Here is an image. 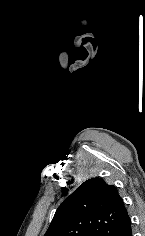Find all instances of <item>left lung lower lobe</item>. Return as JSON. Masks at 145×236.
<instances>
[{"label": "left lung lower lobe", "mask_w": 145, "mask_h": 236, "mask_svg": "<svg viewBox=\"0 0 145 236\" xmlns=\"http://www.w3.org/2000/svg\"><path fill=\"white\" fill-rule=\"evenodd\" d=\"M118 236H132L131 221L130 223L120 232Z\"/></svg>", "instance_id": "left-lung-lower-lobe-1"}]
</instances>
